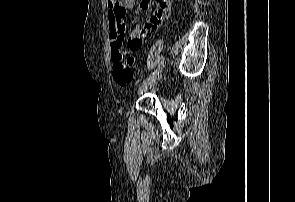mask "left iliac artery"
Returning a JSON list of instances; mask_svg holds the SVG:
<instances>
[{
  "label": "left iliac artery",
  "instance_id": "left-iliac-artery-1",
  "mask_svg": "<svg viewBox=\"0 0 295 202\" xmlns=\"http://www.w3.org/2000/svg\"><path fill=\"white\" fill-rule=\"evenodd\" d=\"M162 68H163V63L161 62L158 67L156 68V70L150 75L147 77L146 80H144L142 83H145L146 81L156 77L161 71H162Z\"/></svg>",
  "mask_w": 295,
  "mask_h": 202
}]
</instances>
